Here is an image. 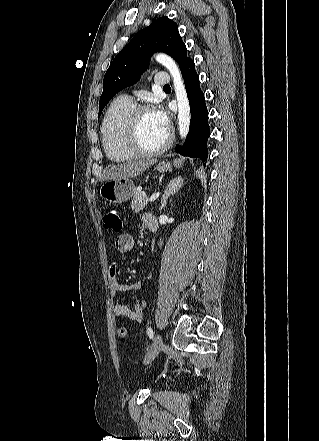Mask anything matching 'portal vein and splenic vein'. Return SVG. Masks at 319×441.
Wrapping results in <instances>:
<instances>
[{
    "label": "portal vein and splenic vein",
    "mask_w": 319,
    "mask_h": 441,
    "mask_svg": "<svg viewBox=\"0 0 319 441\" xmlns=\"http://www.w3.org/2000/svg\"><path fill=\"white\" fill-rule=\"evenodd\" d=\"M159 196H160V192H157V193L151 195L149 201H150V202H153V201H155Z\"/></svg>",
    "instance_id": "obj_1"
}]
</instances>
